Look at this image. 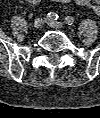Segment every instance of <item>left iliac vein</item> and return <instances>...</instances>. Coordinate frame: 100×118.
<instances>
[{
    "instance_id": "left-iliac-vein-1",
    "label": "left iliac vein",
    "mask_w": 100,
    "mask_h": 118,
    "mask_svg": "<svg viewBox=\"0 0 100 118\" xmlns=\"http://www.w3.org/2000/svg\"><path fill=\"white\" fill-rule=\"evenodd\" d=\"M46 22L49 26H51L53 28H56V29L63 28V24L61 22L53 21V20H47Z\"/></svg>"
}]
</instances>
